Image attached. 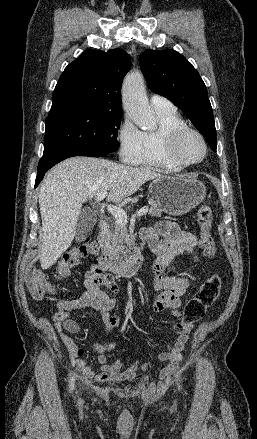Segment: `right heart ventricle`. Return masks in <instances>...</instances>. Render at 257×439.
<instances>
[{
    "mask_svg": "<svg viewBox=\"0 0 257 439\" xmlns=\"http://www.w3.org/2000/svg\"><path fill=\"white\" fill-rule=\"evenodd\" d=\"M158 128L142 132V151L133 164L158 168L167 172H178L182 167L168 157L165 147L166 135L175 128L186 126L183 118L175 111H156Z\"/></svg>",
    "mask_w": 257,
    "mask_h": 439,
    "instance_id": "1",
    "label": "right heart ventricle"
}]
</instances>
